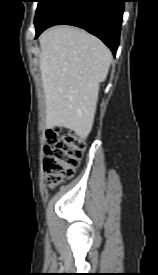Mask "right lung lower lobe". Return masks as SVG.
Instances as JSON below:
<instances>
[{"mask_svg":"<svg viewBox=\"0 0 158 275\" xmlns=\"http://www.w3.org/2000/svg\"><path fill=\"white\" fill-rule=\"evenodd\" d=\"M124 0H57L35 24L36 38L57 24L81 27L100 38L113 52L119 45Z\"/></svg>","mask_w":158,"mask_h":275,"instance_id":"obj_1","label":"right lung lower lobe"}]
</instances>
